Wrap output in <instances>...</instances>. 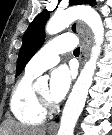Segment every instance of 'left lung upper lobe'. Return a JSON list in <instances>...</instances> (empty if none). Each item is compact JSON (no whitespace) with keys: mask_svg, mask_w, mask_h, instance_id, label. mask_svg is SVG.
I'll return each mask as SVG.
<instances>
[{"mask_svg":"<svg viewBox=\"0 0 112 135\" xmlns=\"http://www.w3.org/2000/svg\"><path fill=\"white\" fill-rule=\"evenodd\" d=\"M94 0H70L71 5L94 4ZM50 13L43 11L30 23L23 36V44L17 60L16 76H19L31 57L37 52L44 42V26L49 19Z\"/></svg>","mask_w":112,"mask_h":135,"instance_id":"obj_1","label":"left lung upper lobe"}]
</instances>
